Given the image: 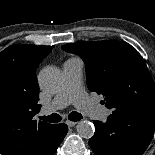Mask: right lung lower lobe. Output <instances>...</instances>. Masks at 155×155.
<instances>
[{
	"label": "right lung lower lobe",
	"mask_w": 155,
	"mask_h": 155,
	"mask_svg": "<svg viewBox=\"0 0 155 155\" xmlns=\"http://www.w3.org/2000/svg\"><path fill=\"white\" fill-rule=\"evenodd\" d=\"M55 134L52 142L50 143L48 149L46 150L44 155H53L57 150V147L60 145L65 135L68 132V128L66 124L55 125Z\"/></svg>",
	"instance_id": "98d812e1"
}]
</instances>
